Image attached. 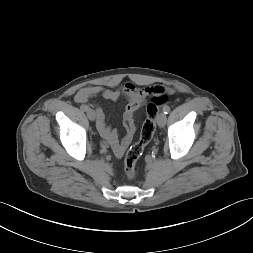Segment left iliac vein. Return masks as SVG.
I'll return each instance as SVG.
<instances>
[{
  "instance_id": "4c4485c4",
  "label": "left iliac vein",
  "mask_w": 253,
  "mask_h": 253,
  "mask_svg": "<svg viewBox=\"0 0 253 253\" xmlns=\"http://www.w3.org/2000/svg\"><path fill=\"white\" fill-rule=\"evenodd\" d=\"M166 121H167V117L164 113H160L158 116H157V123L160 127H163L165 124H166Z\"/></svg>"
}]
</instances>
